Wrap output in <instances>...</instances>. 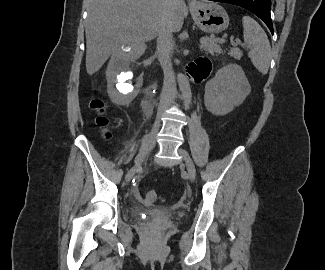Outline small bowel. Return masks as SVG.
<instances>
[{
	"mask_svg": "<svg viewBox=\"0 0 325 270\" xmlns=\"http://www.w3.org/2000/svg\"><path fill=\"white\" fill-rule=\"evenodd\" d=\"M211 71V62L206 57H198L190 62L187 66V72L194 81L204 80ZM135 196L140 199L138 191H135Z\"/></svg>",
	"mask_w": 325,
	"mask_h": 270,
	"instance_id": "small-bowel-1",
	"label": "small bowel"
}]
</instances>
